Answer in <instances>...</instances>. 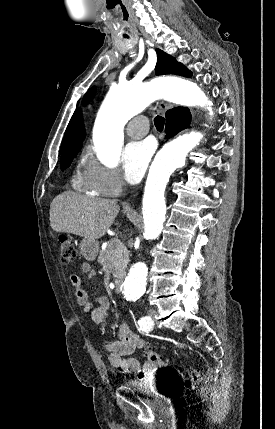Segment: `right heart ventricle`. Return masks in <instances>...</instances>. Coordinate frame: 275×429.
I'll return each mask as SVG.
<instances>
[{
    "instance_id": "1",
    "label": "right heart ventricle",
    "mask_w": 275,
    "mask_h": 429,
    "mask_svg": "<svg viewBox=\"0 0 275 429\" xmlns=\"http://www.w3.org/2000/svg\"><path fill=\"white\" fill-rule=\"evenodd\" d=\"M81 186H82L85 190L91 191V190L87 187V185L85 184V181H84L83 175H82V177H81Z\"/></svg>"
}]
</instances>
